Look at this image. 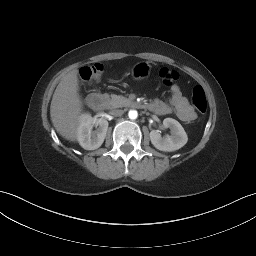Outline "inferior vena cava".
Masks as SVG:
<instances>
[{"label": "inferior vena cava", "mask_w": 256, "mask_h": 256, "mask_svg": "<svg viewBox=\"0 0 256 256\" xmlns=\"http://www.w3.org/2000/svg\"><path fill=\"white\" fill-rule=\"evenodd\" d=\"M123 113H124V111L120 110V109H114L111 111V114L114 116H121Z\"/></svg>", "instance_id": "inferior-vena-cava-1"}]
</instances>
